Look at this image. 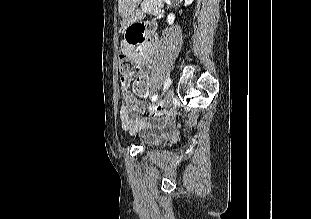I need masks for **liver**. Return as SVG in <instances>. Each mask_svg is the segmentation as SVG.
<instances>
[{
    "mask_svg": "<svg viewBox=\"0 0 311 219\" xmlns=\"http://www.w3.org/2000/svg\"><path fill=\"white\" fill-rule=\"evenodd\" d=\"M132 0H119V13L121 16H126L131 11Z\"/></svg>",
    "mask_w": 311,
    "mask_h": 219,
    "instance_id": "6515ba94",
    "label": "liver"
}]
</instances>
